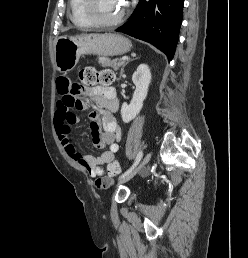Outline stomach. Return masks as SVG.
<instances>
[{
  "label": "stomach",
  "mask_w": 248,
  "mask_h": 258,
  "mask_svg": "<svg viewBox=\"0 0 248 258\" xmlns=\"http://www.w3.org/2000/svg\"><path fill=\"white\" fill-rule=\"evenodd\" d=\"M131 47V41L119 34L63 35L54 44L55 66L58 71L67 73L74 69L82 55H122Z\"/></svg>",
  "instance_id": "stomach-1"
}]
</instances>
